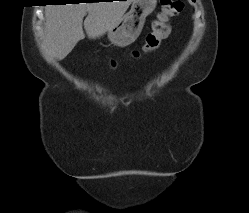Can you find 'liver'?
Returning a JSON list of instances; mask_svg holds the SVG:
<instances>
[{
  "label": "liver",
  "instance_id": "6515ba94",
  "mask_svg": "<svg viewBox=\"0 0 249 213\" xmlns=\"http://www.w3.org/2000/svg\"><path fill=\"white\" fill-rule=\"evenodd\" d=\"M133 0L79 4L47 5L45 8V42L51 54L63 60L84 39H95L115 27Z\"/></svg>",
  "mask_w": 249,
  "mask_h": 213
}]
</instances>
